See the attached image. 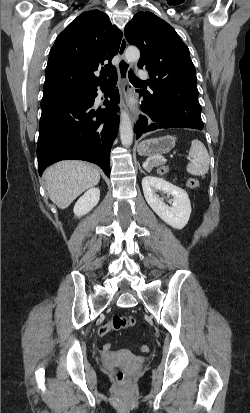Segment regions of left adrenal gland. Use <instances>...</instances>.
I'll list each match as a JSON object with an SVG mask.
<instances>
[{
    "label": "left adrenal gland",
    "instance_id": "1",
    "mask_svg": "<svg viewBox=\"0 0 250 413\" xmlns=\"http://www.w3.org/2000/svg\"><path fill=\"white\" fill-rule=\"evenodd\" d=\"M139 170H140V172H141V173H145L143 170H141V168H140V167H139Z\"/></svg>",
    "mask_w": 250,
    "mask_h": 413
}]
</instances>
